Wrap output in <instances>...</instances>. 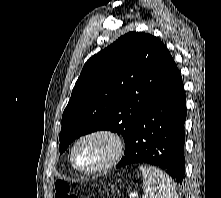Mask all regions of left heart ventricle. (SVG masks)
<instances>
[{
  "mask_svg": "<svg viewBox=\"0 0 221 198\" xmlns=\"http://www.w3.org/2000/svg\"><path fill=\"white\" fill-rule=\"evenodd\" d=\"M111 144L104 138H91L81 142L75 151V162L82 168H94L110 155Z\"/></svg>",
  "mask_w": 221,
  "mask_h": 198,
  "instance_id": "b2bd125f",
  "label": "left heart ventricle"
}]
</instances>
